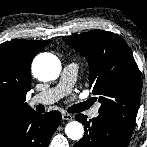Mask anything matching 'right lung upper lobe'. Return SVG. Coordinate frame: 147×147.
Instances as JSON below:
<instances>
[{
  "label": "right lung upper lobe",
  "instance_id": "right-lung-upper-lobe-1",
  "mask_svg": "<svg viewBox=\"0 0 147 147\" xmlns=\"http://www.w3.org/2000/svg\"><path fill=\"white\" fill-rule=\"evenodd\" d=\"M50 40H11L0 44V128L32 111L25 102L31 87V62Z\"/></svg>",
  "mask_w": 147,
  "mask_h": 147
}]
</instances>
